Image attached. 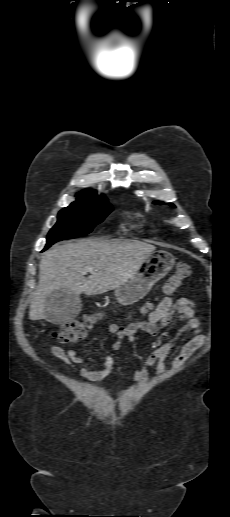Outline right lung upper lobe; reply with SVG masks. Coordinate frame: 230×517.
<instances>
[{"mask_svg":"<svg viewBox=\"0 0 230 517\" xmlns=\"http://www.w3.org/2000/svg\"><path fill=\"white\" fill-rule=\"evenodd\" d=\"M101 198H104V196L99 197L92 190H84L83 192L77 194V200L75 202H83L86 200L101 199Z\"/></svg>","mask_w":230,"mask_h":517,"instance_id":"1","label":"right lung upper lobe"}]
</instances>
